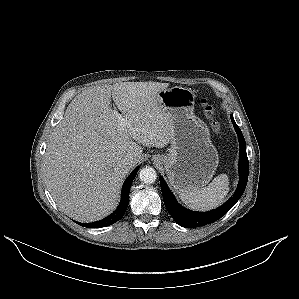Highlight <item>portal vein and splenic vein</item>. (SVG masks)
Returning a JSON list of instances; mask_svg holds the SVG:
<instances>
[{"label": "portal vein and splenic vein", "instance_id": "18ae733b", "mask_svg": "<svg viewBox=\"0 0 299 299\" xmlns=\"http://www.w3.org/2000/svg\"><path fill=\"white\" fill-rule=\"evenodd\" d=\"M116 115H117V117H118V119H119L120 125H121L122 127L126 126V125H127V122H126V120L121 116V114L117 113Z\"/></svg>", "mask_w": 299, "mask_h": 299}]
</instances>
